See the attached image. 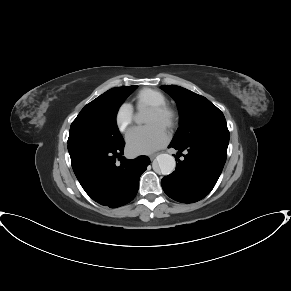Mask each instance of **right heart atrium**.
Segmentation results:
<instances>
[{
  "mask_svg": "<svg viewBox=\"0 0 291 291\" xmlns=\"http://www.w3.org/2000/svg\"><path fill=\"white\" fill-rule=\"evenodd\" d=\"M134 120V110L130 104H122L116 113V125L122 133H126Z\"/></svg>",
  "mask_w": 291,
  "mask_h": 291,
  "instance_id": "obj_1",
  "label": "right heart atrium"
}]
</instances>
